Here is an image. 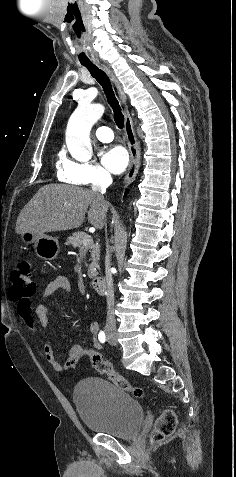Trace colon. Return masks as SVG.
<instances>
[{"instance_id":"5ec220e1","label":"colon","mask_w":236,"mask_h":477,"mask_svg":"<svg viewBox=\"0 0 236 477\" xmlns=\"http://www.w3.org/2000/svg\"><path fill=\"white\" fill-rule=\"evenodd\" d=\"M36 284L31 277L30 265L26 261L18 263L11 273V286L9 297L18 304V311L23 312L31 308V299L35 296ZM89 360L93 367L100 373L105 374L117 387L133 393L137 397H143L144 391L133 386L126 378L113 371L109 361L104 360L98 354H92ZM177 419L173 412L167 410L159 417L153 434V440L160 442L169 437L175 431Z\"/></svg>"}]
</instances>
